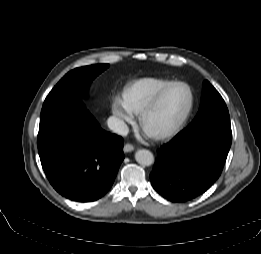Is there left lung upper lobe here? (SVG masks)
<instances>
[{
	"label": "left lung upper lobe",
	"mask_w": 261,
	"mask_h": 254,
	"mask_svg": "<svg viewBox=\"0 0 261 254\" xmlns=\"http://www.w3.org/2000/svg\"><path fill=\"white\" fill-rule=\"evenodd\" d=\"M215 124L230 125L229 112L221 95L205 80L203 82L202 102L199 111L185 130L197 131L204 126Z\"/></svg>",
	"instance_id": "1"
}]
</instances>
